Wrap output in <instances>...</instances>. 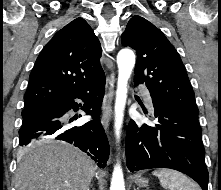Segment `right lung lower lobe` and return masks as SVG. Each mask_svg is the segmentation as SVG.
Returning <instances> with one entry per match:
<instances>
[{
  "instance_id": "98d812e1",
  "label": "right lung lower lobe",
  "mask_w": 221,
  "mask_h": 190,
  "mask_svg": "<svg viewBox=\"0 0 221 190\" xmlns=\"http://www.w3.org/2000/svg\"><path fill=\"white\" fill-rule=\"evenodd\" d=\"M105 75L85 88L70 93L23 118L19 130V144L26 146L35 139L64 140L87 153L104 168L109 158V143L100 122V106L105 91ZM81 99V107L74 99ZM79 107L93 119L81 126H73L68 111Z\"/></svg>"
}]
</instances>
